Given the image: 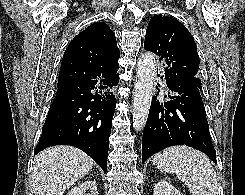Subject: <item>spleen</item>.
I'll list each match as a JSON object with an SVG mask.
<instances>
[{"instance_id":"spleen-1","label":"spleen","mask_w":245,"mask_h":195,"mask_svg":"<svg viewBox=\"0 0 245 195\" xmlns=\"http://www.w3.org/2000/svg\"><path fill=\"white\" fill-rule=\"evenodd\" d=\"M154 166L174 173L193 195H216V172L210 159L202 152L187 146H172L153 157Z\"/></svg>"}]
</instances>
